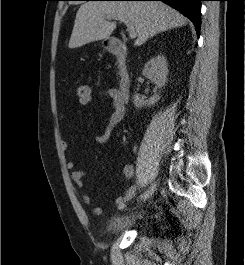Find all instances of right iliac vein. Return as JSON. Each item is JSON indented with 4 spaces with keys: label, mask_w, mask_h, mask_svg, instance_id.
Listing matches in <instances>:
<instances>
[{
    "label": "right iliac vein",
    "mask_w": 245,
    "mask_h": 265,
    "mask_svg": "<svg viewBox=\"0 0 245 265\" xmlns=\"http://www.w3.org/2000/svg\"><path fill=\"white\" fill-rule=\"evenodd\" d=\"M155 189H156V184H152V186L146 191V194L144 196H141L140 198L141 201L149 198L154 193Z\"/></svg>",
    "instance_id": "63e3f726"
}]
</instances>
